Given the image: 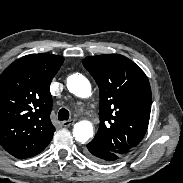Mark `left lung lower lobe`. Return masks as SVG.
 <instances>
[{
  "instance_id": "left-lung-lower-lobe-1",
  "label": "left lung lower lobe",
  "mask_w": 183,
  "mask_h": 183,
  "mask_svg": "<svg viewBox=\"0 0 183 183\" xmlns=\"http://www.w3.org/2000/svg\"><path fill=\"white\" fill-rule=\"evenodd\" d=\"M85 151L89 158L100 163L112 162L121 157L120 155L99 146L93 141L87 144V148Z\"/></svg>"
}]
</instances>
